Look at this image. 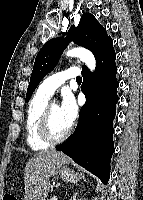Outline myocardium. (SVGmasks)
Masks as SVG:
<instances>
[{
	"instance_id": "myocardium-1",
	"label": "myocardium",
	"mask_w": 143,
	"mask_h": 200,
	"mask_svg": "<svg viewBox=\"0 0 143 200\" xmlns=\"http://www.w3.org/2000/svg\"><path fill=\"white\" fill-rule=\"evenodd\" d=\"M51 106L52 104H47L46 107L44 108L37 128L38 136L40 137V139L49 145L58 144L65 141L69 137L72 131V127L70 126L67 129V131L59 137H56L52 134L50 130Z\"/></svg>"
}]
</instances>
